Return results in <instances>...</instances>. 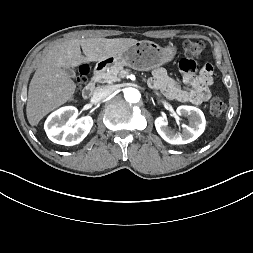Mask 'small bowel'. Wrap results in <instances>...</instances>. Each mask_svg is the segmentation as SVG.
<instances>
[{
    "instance_id": "obj_1",
    "label": "small bowel",
    "mask_w": 253,
    "mask_h": 253,
    "mask_svg": "<svg viewBox=\"0 0 253 253\" xmlns=\"http://www.w3.org/2000/svg\"><path fill=\"white\" fill-rule=\"evenodd\" d=\"M176 70L183 77V83L187 87H181L169 77L164 68L153 71L149 79L150 87L160 91L166 98L178 102L200 105L211 98L209 88L213 83L214 68L210 62L201 64L199 58H184L179 62Z\"/></svg>"
}]
</instances>
